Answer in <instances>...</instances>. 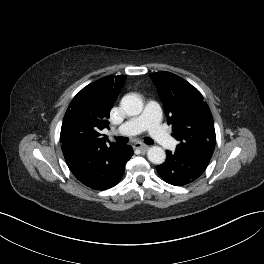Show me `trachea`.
I'll return each mask as SVG.
<instances>
[{
	"label": "trachea",
	"instance_id": "1",
	"mask_svg": "<svg viewBox=\"0 0 264 264\" xmlns=\"http://www.w3.org/2000/svg\"><path fill=\"white\" fill-rule=\"evenodd\" d=\"M116 142L119 143V144H126V143H128V138H126V137H116ZM144 142L147 143V144H153L154 143V141L151 138H149V137H146L144 139Z\"/></svg>",
	"mask_w": 264,
	"mask_h": 264
}]
</instances>
